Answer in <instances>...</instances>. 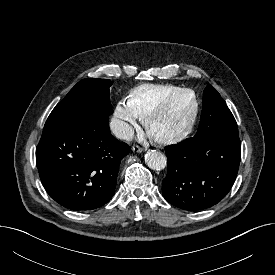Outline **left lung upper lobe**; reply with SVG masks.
I'll list each match as a JSON object with an SVG mask.
<instances>
[{
	"instance_id": "obj_1",
	"label": "left lung upper lobe",
	"mask_w": 275,
	"mask_h": 275,
	"mask_svg": "<svg viewBox=\"0 0 275 275\" xmlns=\"http://www.w3.org/2000/svg\"><path fill=\"white\" fill-rule=\"evenodd\" d=\"M195 136L198 138L239 137L234 116L211 85L207 86L203 93L201 118Z\"/></svg>"
}]
</instances>
